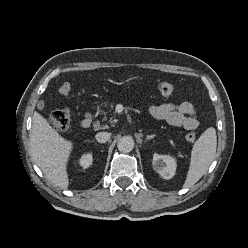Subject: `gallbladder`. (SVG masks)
<instances>
[{
	"label": "gallbladder",
	"instance_id": "gallbladder-1",
	"mask_svg": "<svg viewBox=\"0 0 248 248\" xmlns=\"http://www.w3.org/2000/svg\"><path fill=\"white\" fill-rule=\"evenodd\" d=\"M37 108L40 109V110H42L44 108V102L43 101H39L37 103Z\"/></svg>",
	"mask_w": 248,
	"mask_h": 248
}]
</instances>
